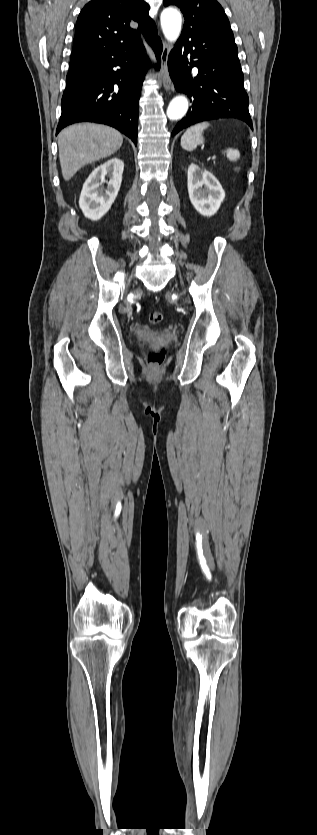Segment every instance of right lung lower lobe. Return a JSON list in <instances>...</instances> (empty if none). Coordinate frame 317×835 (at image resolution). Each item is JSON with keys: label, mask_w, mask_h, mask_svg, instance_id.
<instances>
[{"label": "right lung lower lobe", "mask_w": 317, "mask_h": 835, "mask_svg": "<svg viewBox=\"0 0 317 835\" xmlns=\"http://www.w3.org/2000/svg\"><path fill=\"white\" fill-rule=\"evenodd\" d=\"M145 38L160 62L162 43L156 29ZM148 67L141 39L114 51L73 52L56 134L73 123L96 122L118 129L137 144L138 104Z\"/></svg>", "instance_id": "1"}]
</instances>
